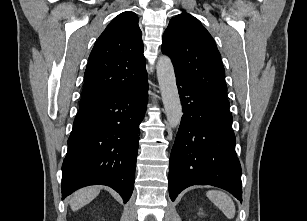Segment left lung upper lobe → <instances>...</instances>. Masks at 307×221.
Listing matches in <instances>:
<instances>
[{
	"label": "left lung upper lobe",
	"instance_id": "5c2ea615",
	"mask_svg": "<svg viewBox=\"0 0 307 221\" xmlns=\"http://www.w3.org/2000/svg\"><path fill=\"white\" fill-rule=\"evenodd\" d=\"M161 50L170 56L176 75L196 90L229 106L220 53L197 18L186 12L172 18L164 33Z\"/></svg>",
	"mask_w": 307,
	"mask_h": 221
}]
</instances>
